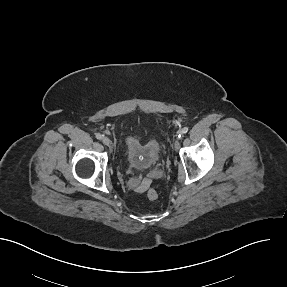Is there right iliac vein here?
<instances>
[{
    "mask_svg": "<svg viewBox=\"0 0 287 287\" xmlns=\"http://www.w3.org/2000/svg\"><path fill=\"white\" fill-rule=\"evenodd\" d=\"M102 142L104 145L109 146L111 144V141L108 137H103Z\"/></svg>",
    "mask_w": 287,
    "mask_h": 287,
    "instance_id": "1",
    "label": "right iliac vein"
}]
</instances>
